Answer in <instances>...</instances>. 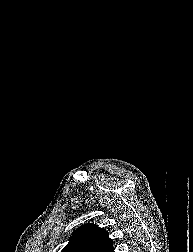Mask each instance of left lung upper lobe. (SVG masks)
I'll list each match as a JSON object with an SVG mask.
<instances>
[{"mask_svg": "<svg viewBox=\"0 0 193 252\" xmlns=\"http://www.w3.org/2000/svg\"><path fill=\"white\" fill-rule=\"evenodd\" d=\"M61 252H114V248L104 228L88 223L73 232Z\"/></svg>", "mask_w": 193, "mask_h": 252, "instance_id": "1", "label": "left lung upper lobe"}]
</instances>
